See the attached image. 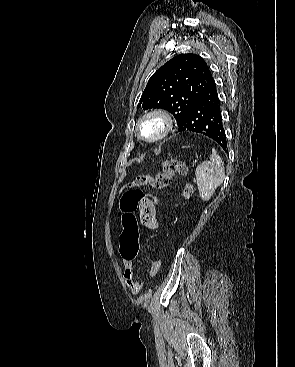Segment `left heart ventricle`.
<instances>
[{"mask_svg":"<svg viewBox=\"0 0 295 367\" xmlns=\"http://www.w3.org/2000/svg\"><path fill=\"white\" fill-rule=\"evenodd\" d=\"M161 128V125L158 121L152 120L149 121L142 126V134L146 137H152L156 135Z\"/></svg>","mask_w":295,"mask_h":367,"instance_id":"b2bd125f","label":"left heart ventricle"}]
</instances>
